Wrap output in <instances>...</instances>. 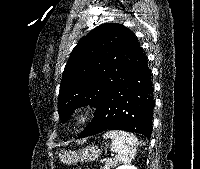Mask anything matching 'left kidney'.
<instances>
[{"label": "left kidney", "mask_w": 200, "mask_h": 169, "mask_svg": "<svg viewBox=\"0 0 200 169\" xmlns=\"http://www.w3.org/2000/svg\"><path fill=\"white\" fill-rule=\"evenodd\" d=\"M116 169H137V168L130 164H124V165L117 167Z\"/></svg>", "instance_id": "obj_1"}]
</instances>
